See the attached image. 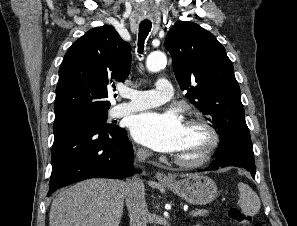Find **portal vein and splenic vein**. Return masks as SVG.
<instances>
[{
  "label": "portal vein and splenic vein",
  "mask_w": 297,
  "mask_h": 226,
  "mask_svg": "<svg viewBox=\"0 0 297 226\" xmlns=\"http://www.w3.org/2000/svg\"><path fill=\"white\" fill-rule=\"evenodd\" d=\"M194 213H195V211H190L188 214L193 215Z\"/></svg>",
  "instance_id": "18ae733b"
}]
</instances>
